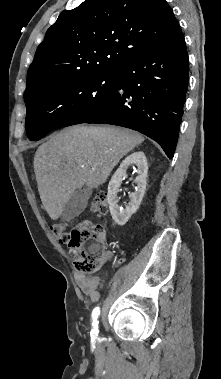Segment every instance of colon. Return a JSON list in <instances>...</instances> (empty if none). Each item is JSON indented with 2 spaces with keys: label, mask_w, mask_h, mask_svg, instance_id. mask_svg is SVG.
Listing matches in <instances>:
<instances>
[{
  "label": "colon",
  "mask_w": 221,
  "mask_h": 379,
  "mask_svg": "<svg viewBox=\"0 0 221 379\" xmlns=\"http://www.w3.org/2000/svg\"><path fill=\"white\" fill-rule=\"evenodd\" d=\"M91 210L98 214L107 212V196L103 191L95 193ZM50 231L61 244L67 245L76 254L75 267L80 273L91 274L97 271L104 253L105 234L101 226L84 219L69 231L60 223L52 224Z\"/></svg>",
  "instance_id": "obj_1"
}]
</instances>
